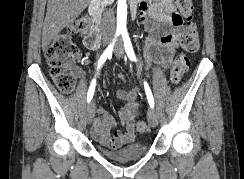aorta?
<instances>
[{
	"instance_id": "aorta-1",
	"label": "aorta",
	"mask_w": 244,
	"mask_h": 179,
	"mask_svg": "<svg viewBox=\"0 0 244 179\" xmlns=\"http://www.w3.org/2000/svg\"><path fill=\"white\" fill-rule=\"evenodd\" d=\"M127 22V2L126 0H118L117 6V32L126 30Z\"/></svg>"
}]
</instances>
